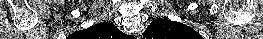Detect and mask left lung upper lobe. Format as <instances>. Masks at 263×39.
<instances>
[{"instance_id": "left-lung-upper-lobe-1", "label": "left lung upper lobe", "mask_w": 263, "mask_h": 39, "mask_svg": "<svg viewBox=\"0 0 263 39\" xmlns=\"http://www.w3.org/2000/svg\"><path fill=\"white\" fill-rule=\"evenodd\" d=\"M146 39H203L194 29L168 19H155L143 34Z\"/></svg>"}]
</instances>
